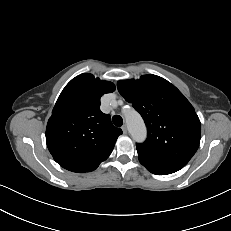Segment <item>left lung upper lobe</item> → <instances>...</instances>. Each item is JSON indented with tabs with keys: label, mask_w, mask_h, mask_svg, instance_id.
Returning a JSON list of instances; mask_svg holds the SVG:
<instances>
[{
	"label": "left lung upper lobe",
	"mask_w": 231,
	"mask_h": 231,
	"mask_svg": "<svg viewBox=\"0 0 231 231\" xmlns=\"http://www.w3.org/2000/svg\"><path fill=\"white\" fill-rule=\"evenodd\" d=\"M118 91L141 114L148 136L137 144L139 161L178 171L199 147L201 124L193 106L170 82L156 75L120 80Z\"/></svg>",
	"instance_id": "obj_1"
}]
</instances>
